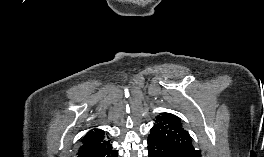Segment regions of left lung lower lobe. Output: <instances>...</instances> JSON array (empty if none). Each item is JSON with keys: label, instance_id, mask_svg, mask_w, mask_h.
Wrapping results in <instances>:
<instances>
[{"label": "left lung lower lobe", "instance_id": "0a47b994", "mask_svg": "<svg viewBox=\"0 0 264 157\" xmlns=\"http://www.w3.org/2000/svg\"><path fill=\"white\" fill-rule=\"evenodd\" d=\"M148 157H175L172 150L161 142L148 139Z\"/></svg>", "mask_w": 264, "mask_h": 157}]
</instances>
